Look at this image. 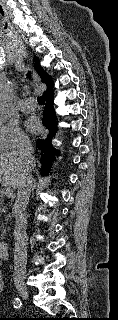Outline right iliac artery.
Wrapping results in <instances>:
<instances>
[{
    "label": "right iliac artery",
    "mask_w": 118,
    "mask_h": 320,
    "mask_svg": "<svg viewBox=\"0 0 118 320\" xmlns=\"http://www.w3.org/2000/svg\"><path fill=\"white\" fill-rule=\"evenodd\" d=\"M13 306H14V308H20L22 306L21 300L19 298H15L13 300Z\"/></svg>",
    "instance_id": "82829eb1"
}]
</instances>
